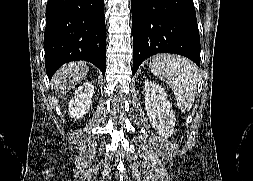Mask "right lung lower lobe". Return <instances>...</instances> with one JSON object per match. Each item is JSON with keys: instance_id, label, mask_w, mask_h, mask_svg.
Listing matches in <instances>:
<instances>
[{"instance_id": "right-lung-lower-lobe-1", "label": "right lung lower lobe", "mask_w": 253, "mask_h": 181, "mask_svg": "<svg viewBox=\"0 0 253 181\" xmlns=\"http://www.w3.org/2000/svg\"><path fill=\"white\" fill-rule=\"evenodd\" d=\"M104 0H48L45 66L51 79L67 62L85 60L106 69Z\"/></svg>"}]
</instances>
